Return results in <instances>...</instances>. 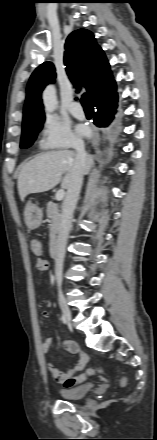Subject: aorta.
I'll return each mask as SVG.
<instances>
[{
	"mask_svg": "<svg viewBox=\"0 0 157 440\" xmlns=\"http://www.w3.org/2000/svg\"><path fill=\"white\" fill-rule=\"evenodd\" d=\"M43 104L47 113H52L57 108V98L54 86L49 85L42 94Z\"/></svg>",
	"mask_w": 157,
	"mask_h": 440,
	"instance_id": "1",
	"label": "aorta"
}]
</instances>
